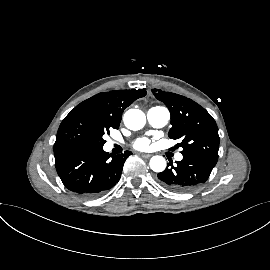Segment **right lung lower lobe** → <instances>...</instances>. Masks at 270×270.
Listing matches in <instances>:
<instances>
[{"instance_id":"98d812e1","label":"right lung lower lobe","mask_w":270,"mask_h":270,"mask_svg":"<svg viewBox=\"0 0 270 270\" xmlns=\"http://www.w3.org/2000/svg\"><path fill=\"white\" fill-rule=\"evenodd\" d=\"M130 151L113 156L103 147L61 145L54 147L55 166L64 186L83 197H94L120 179Z\"/></svg>"}]
</instances>
